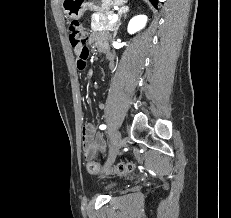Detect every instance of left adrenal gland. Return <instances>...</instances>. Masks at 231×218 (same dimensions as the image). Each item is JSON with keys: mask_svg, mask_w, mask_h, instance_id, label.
<instances>
[{"mask_svg": "<svg viewBox=\"0 0 231 218\" xmlns=\"http://www.w3.org/2000/svg\"><path fill=\"white\" fill-rule=\"evenodd\" d=\"M129 11H130V10H129V7H127V6L122 7V8L118 11L119 19H118L117 26H116V28L114 29L113 37H116L117 32H118V29H119V26L121 25L120 19H121L122 17L125 18V17L127 16V13H128Z\"/></svg>", "mask_w": 231, "mask_h": 218, "instance_id": "a2214340", "label": "left adrenal gland"}]
</instances>
